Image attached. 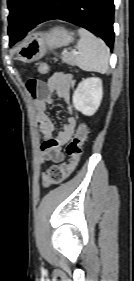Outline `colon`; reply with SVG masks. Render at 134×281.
I'll return each mask as SVG.
<instances>
[{
  "label": "colon",
  "instance_id": "colon-1",
  "mask_svg": "<svg viewBox=\"0 0 134 281\" xmlns=\"http://www.w3.org/2000/svg\"><path fill=\"white\" fill-rule=\"evenodd\" d=\"M37 69L39 74L46 75L49 72V65L45 62H41ZM87 134V125L81 123L73 138L66 146V153L69 156L70 161L60 165H53L43 174V185L45 187L62 183L76 169L83 154V145L87 138Z\"/></svg>",
  "mask_w": 134,
  "mask_h": 281
}]
</instances>
